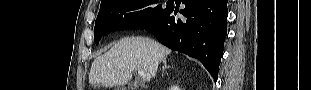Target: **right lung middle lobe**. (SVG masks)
I'll list each match as a JSON object with an SVG mask.
<instances>
[{
	"mask_svg": "<svg viewBox=\"0 0 311 90\" xmlns=\"http://www.w3.org/2000/svg\"><path fill=\"white\" fill-rule=\"evenodd\" d=\"M158 0H107L100 5L94 28V42L119 30H137L160 20L170 8L156 5Z\"/></svg>",
	"mask_w": 311,
	"mask_h": 90,
	"instance_id": "right-lung-middle-lobe-1",
	"label": "right lung middle lobe"
}]
</instances>
